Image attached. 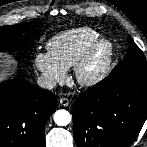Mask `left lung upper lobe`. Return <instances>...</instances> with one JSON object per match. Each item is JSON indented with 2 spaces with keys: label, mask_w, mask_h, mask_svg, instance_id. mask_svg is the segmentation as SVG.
Listing matches in <instances>:
<instances>
[{
  "label": "left lung upper lobe",
  "mask_w": 147,
  "mask_h": 147,
  "mask_svg": "<svg viewBox=\"0 0 147 147\" xmlns=\"http://www.w3.org/2000/svg\"><path fill=\"white\" fill-rule=\"evenodd\" d=\"M128 43V53L123 61L115 66L111 73L132 70L147 74V61L143 55V52L130 37H128Z\"/></svg>",
  "instance_id": "5c2ea615"
}]
</instances>
